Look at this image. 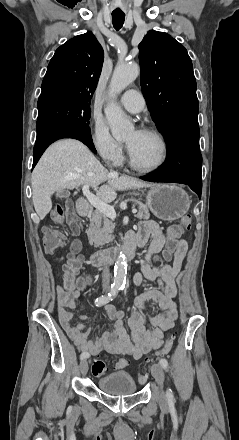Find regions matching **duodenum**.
<instances>
[{"mask_svg":"<svg viewBox=\"0 0 239 440\" xmlns=\"http://www.w3.org/2000/svg\"><path fill=\"white\" fill-rule=\"evenodd\" d=\"M77 208L81 216H88L92 210L91 205L86 199H80L77 203ZM120 254L125 255L127 258H133L135 255V244L132 242H127L121 250L105 249L94 252L90 256L89 263L93 267H101L114 262Z\"/></svg>","mask_w":239,"mask_h":440,"instance_id":"410a0bca","label":"duodenum"}]
</instances>
